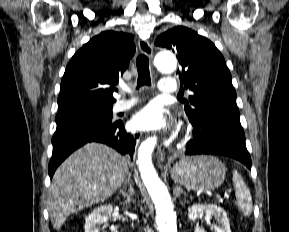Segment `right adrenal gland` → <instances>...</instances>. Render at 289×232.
I'll return each instance as SVG.
<instances>
[{"label":"right adrenal gland","mask_w":289,"mask_h":232,"mask_svg":"<svg viewBox=\"0 0 289 232\" xmlns=\"http://www.w3.org/2000/svg\"><path fill=\"white\" fill-rule=\"evenodd\" d=\"M120 194H122V196L124 198H126V202L130 203L132 201V197H133V189L130 185L128 192L124 191V190H120Z\"/></svg>","instance_id":"1"}]
</instances>
